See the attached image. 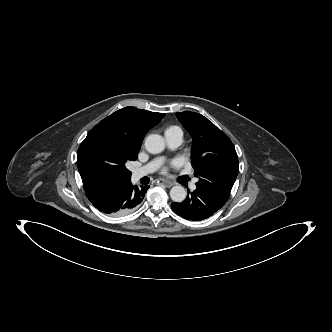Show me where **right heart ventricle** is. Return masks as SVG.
<instances>
[{"instance_id": "obj_1", "label": "right heart ventricle", "mask_w": 332, "mask_h": 332, "mask_svg": "<svg viewBox=\"0 0 332 332\" xmlns=\"http://www.w3.org/2000/svg\"><path fill=\"white\" fill-rule=\"evenodd\" d=\"M175 132H181V129L178 126H170L165 130V135L171 134V133H175Z\"/></svg>"}]
</instances>
